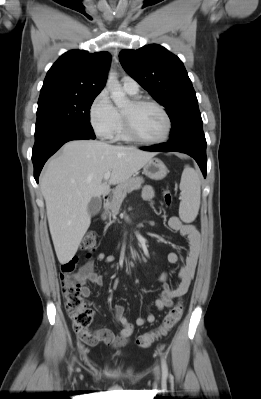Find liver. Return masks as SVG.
I'll return each instance as SVG.
<instances>
[{
    "instance_id": "1",
    "label": "liver",
    "mask_w": 261,
    "mask_h": 399,
    "mask_svg": "<svg viewBox=\"0 0 261 399\" xmlns=\"http://www.w3.org/2000/svg\"><path fill=\"white\" fill-rule=\"evenodd\" d=\"M155 153L97 140H74L52 158L40 178L49 229L61 264L76 254L91 218L88 204L131 178ZM110 171L108 184L102 183Z\"/></svg>"
}]
</instances>
